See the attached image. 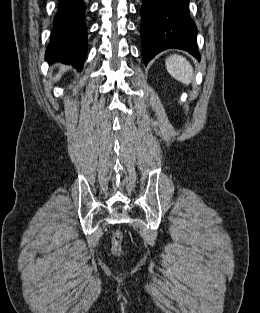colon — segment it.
I'll return each instance as SVG.
<instances>
[{"label": "colon", "instance_id": "5ec220e1", "mask_svg": "<svg viewBox=\"0 0 260 313\" xmlns=\"http://www.w3.org/2000/svg\"><path fill=\"white\" fill-rule=\"evenodd\" d=\"M122 239L123 234L120 230H116L112 237L111 252L115 256H122Z\"/></svg>", "mask_w": 260, "mask_h": 313}]
</instances>
